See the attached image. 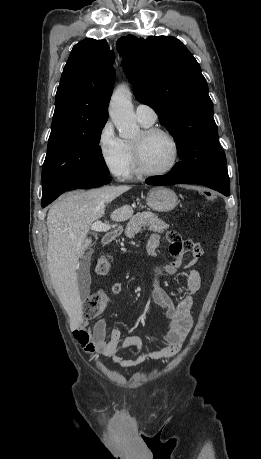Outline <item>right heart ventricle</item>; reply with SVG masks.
Listing matches in <instances>:
<instances>
[{"instance_id":"obj_1","label":"right heart ventricle","mask_w":261,"mask_h":459,"mask_svg":"<svg viewBox=\"0 0 261 459\" xmlns=\"http://www.w3.org/2000/svg\"><path fill=\"white\" fill-rule=\"evenodd\" d=\"M141 125L143 127H150L152 124H145V123H142L140 122ZM123 143H124V148H125V151L127 153V156L129 158V168H128V171L125 175V177H131L133 176L134 174L137 173V170H136V167H135V162H134V157H133V150H132V142L130 141H127V140H123Z\"/></svg>"}]
</instances>
